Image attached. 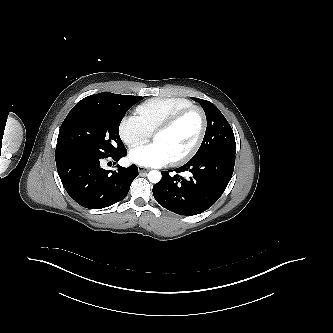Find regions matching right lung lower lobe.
Instances as JSON below:
<instances>
[{
	"mask_svg": "<svg viewBox=\"0 0 333 333\" xmlns=\"http://www.w3.org/2000/svg\"><path fill=\"white\" fill-rule=\"evenodd\" d=\"M126 150L110 156L118 161ZM108 157L82 148L56 147V166L61 182L70 197L89 209H101L124 199L138 168L119 167L117 171L101 168L100 162Z\"/></svg>",
	"mask_w": 333,
	"mask_h": 333,
	"instance_id": "98d812e1",
	"label": "right lung lower lobe"
}]
</instances>
